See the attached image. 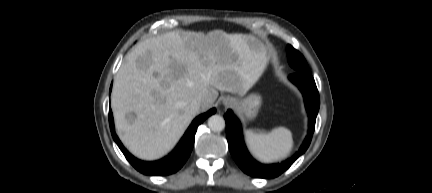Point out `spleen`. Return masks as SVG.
Wrapping results in <instances>:
<instances>
[{"mask_svg":"<svg viewBox=\"0 0 432 193\" xmlns=\"http://www.w3.org/2000/svg\"><path fill=\"white\" fill-rule=\"evenodd\" d=\"M245 139L251 154L263 163L283 160L293 148L292 134L284 127L275 128L269 133L247 130Z\"/></svg>","mask_w":432,"mask_h":193,"instance_id":"spleen-1","label":"spleen"}]
</instances>
